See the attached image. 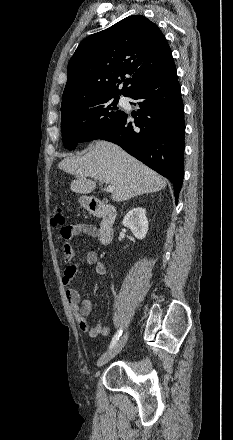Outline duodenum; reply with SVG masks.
<instances>
[{
    "label": "duodenum",
    "mask_w": 233,
    "mask_h": 440,
    "mask_svg": "<svg viewBox=\"0 0 233 440\" xmlns=\"http://www.w3.org/2000/svg\"><path fill=\"white\" fill-rule=\"evenodd\" d=\"M90 213L101 219L98 239L102 245H108L114 238V223L116 220V209L108 206L100 200H92L89 205Z\"/></svg>",
    "instance_id": "410a0bca"
}]
</instances>
